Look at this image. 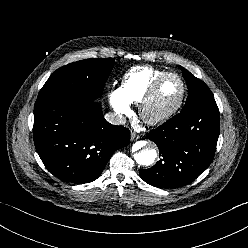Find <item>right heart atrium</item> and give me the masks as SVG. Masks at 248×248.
<instances>
[{
	"label": "right heart atrium",
	"mask_w": 248,
	"mask_h": 248,
	"mask_svg": "<svg viewBox=\"0 0 248 248\" xmlns=\"http://www.w3.org/2000/svg\"><path fill=\"white\" fill-rule=\"evenodd\" d=\"M109 100L117 114L125 116L131 113L130 102L124 96L121 88L113 89L109 94Z\"/></svg>",
	"instance_id": "obj_1"
}]
</instances>
